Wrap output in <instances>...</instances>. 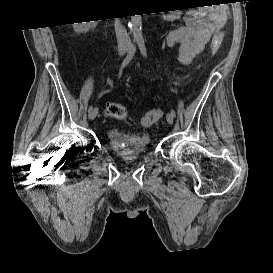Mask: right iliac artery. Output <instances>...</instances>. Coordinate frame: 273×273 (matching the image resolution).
<instances>
[{
  "label": "right iliac artery",
  "mask_w": 273,
  "mask_h": 273,
  "mask_svg": "<svg viewBox=\"0 0 273 273\" xmlns=\"http://www.w3.org/2000/svg\"><path fill=\"white\" fill-rule=\"evenodd\" d=\"M136 52V45L133 44L132 47L130 48L127 56L125 57V59L123 60L121 67H120V72L130 63V61L132 60L134 54ZM93 109V106H90L88 109V112H90Z\"/></svg>",
  "instance_id": "right-iliac-artery-1"
}]
</instances>
